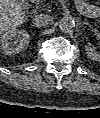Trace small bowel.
I'll return each instance as SVG.
<instances>
[{
    "label": "small bowel",
    "instance_id": "1",
    "mask_svg": "<svg viewBox=\"0 0 100 118\" xmlns=\"http://www.w3.org/2000/svg\"><path fill=\"white\" fill-rule=\"evenodd\" d=\"M75 6L78 11L87 15H94L96 11V6L85 0H75Z\"/></svg>",
    "mask_w": 100,
    "mask_h": 118
}]
</instances>
